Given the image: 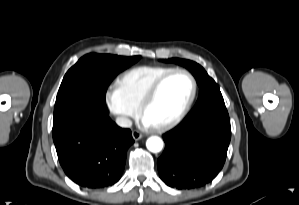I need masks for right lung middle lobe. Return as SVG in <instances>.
Instances as JSON below:
<instances>
[{"label": "right lung middle lobe", "instance_id": "obj_1", "mask_svg": "<svg viewBox=\"0 0 299 205\" xmlns=\"http://www.w3.org/2000/svg\"><path fill=\"white\" fill-rule=\"evenodd\" d=\"M140 58L95 53L83 56L62 80L54 107V121L81 105L105 108V95L110 82Z\"/></svg>", "mask_w": 299, "mask_h": 205}]
</instances>
